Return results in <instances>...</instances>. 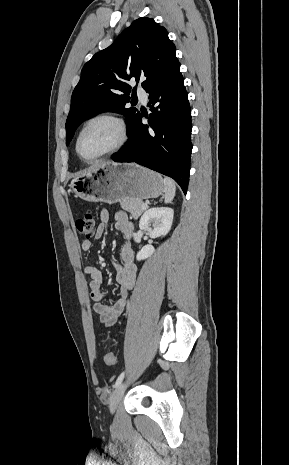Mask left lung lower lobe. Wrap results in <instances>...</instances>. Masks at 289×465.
Masks as SVG:
<instances>
[{"label":"left lung lower lobe","mask_w":289,"mask_h":465,"mask_svg":"<svg viewBox=\"0 0 289 465\" xmlns=\"http://www.w3.org/2000/svg\"><path fill=\"white\" fill-rule=\"evenodd\" d=\"M149 93V125L139 113L125 147L111 156L115 162H136L173 178L186 194L192 144L191 110L180 66L145 89ZM155 105V107H154Z\"/></svg>","instance_id":"0a47b994"}]
</instances>
